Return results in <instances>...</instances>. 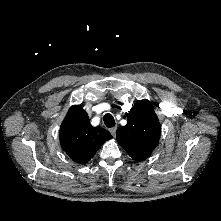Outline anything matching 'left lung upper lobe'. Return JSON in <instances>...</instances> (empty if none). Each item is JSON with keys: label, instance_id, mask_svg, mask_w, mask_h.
Segmentation results:
<instances>
[{"label": "left lung upper lobe", "instance_id": "obj_1", "mask_svg": "<svg viewBox=\"0 0 221 221\" xmlns=\"http://www.w3.org/2000/svg\"><path fill=\"white\" fill-rule=\"evenodd\" d=\"M160 123L148 100L134 104L127 113V124L117 129L118 143L136 161L150 156L160 139Z\"/></svg>", "mask_w": 221, "mask_h": 221}]
</instances>
